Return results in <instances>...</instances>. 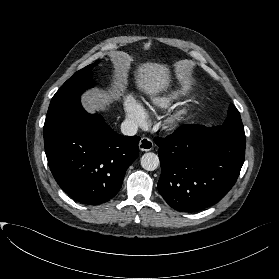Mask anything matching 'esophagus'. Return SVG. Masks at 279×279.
<instances>
[{
  "label": "esophagus",
  "mask_w": 279,
  "mask_h": 279,
  "mask_svg": "<svg viewBox=\"0 0 279 279\" xmlns=\"http://www.w3.org/2000/svg\"><path fill=\"white\" fill-rule=\"evenodd\" d=\"M153 146H154L153 141L147 137L141 138L139 142V149L141 151H145V152L150 151L152 150Z\"/></svg>",
  "instance_id": "esophagus-1"
}]
</instances>
